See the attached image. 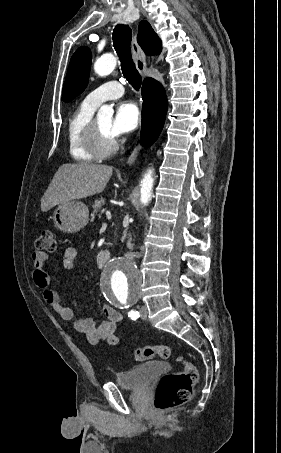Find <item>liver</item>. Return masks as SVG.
I'll return each instance as SVG.
<instances>
[{
  "mask_svg": "<svg viewBox=\"0 0 281 453\" xmlns=\"http://www.w3.org/2000/svg\"><path fill=\"white\" fill-rule=\"evenodd\" d=\"M112 170L113 166L94 162L62 164L41 198V210L47 212L56 204H65L75 198H86L103 192Z\"/></svg>",
  "mask_w": 281,
  "mask_h": 453,
  "instance_id": "liver-1",
  "label": "liver"
}]
</instances>
